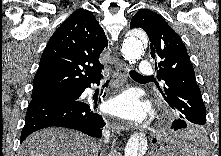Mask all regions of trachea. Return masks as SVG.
<instances>
[{"instance_id": "trachea-1", "label": "trachea", "mask_w": 221, "mask_h": 156, "mask_svg": "<svg viewBox=\"0 0 221 156\" xmlns=\"http://www.w3.org/2000/svg\"><path fill=\"white\" fill-rule=\"evenodd\" d=\"M130 76L133 78H148L147 76H142L139 73H137L136 71L131 70L130 71Z\"/></svg>"}]
</instances>
